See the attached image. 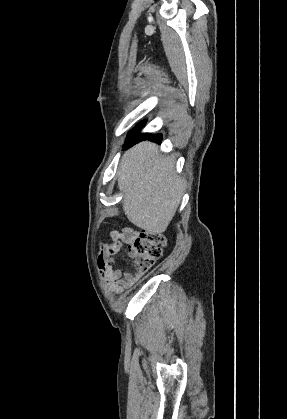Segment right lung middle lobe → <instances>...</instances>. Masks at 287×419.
Segmentation results:
<instances>
[{"label":"right lung middle lobe","mask_w":287,"mask_h":419,"mask_svg":"<svg viewBox=\"0 0 287 419\" xmlns=\"http://www.w3.org/2000/svg\"><path fill=\"white\" fill-rule=\"evenodd\" d=\"M145 123H146V120L140 122L133 130L128 132L127 139H126V143H127L126 146L130 144L135 138L142 135L141 133H139V131L145 125Z\"/></svg>","instance_id":"1"}]
</instances>
